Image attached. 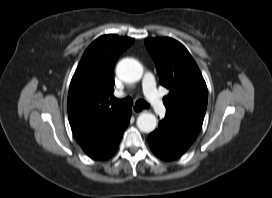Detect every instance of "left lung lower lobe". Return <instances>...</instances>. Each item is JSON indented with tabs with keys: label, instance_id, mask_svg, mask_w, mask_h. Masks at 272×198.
Returning <instances> with one entry per match:
<instances>
[{
	"label": "left lung lower lobe",
	"instance_id": "left-lung-lower-lobe-1",
	"mask_svg": "<svg viewBox=\"0 0 272 198\" xmlns=\"http://www.w3.org/2000/svg\"><path fill=\"white\" fill-rule=\"evenodd\" d=\"M201 127V124L166 113L158 129L148 136V143L159 158L174 160L192 145Z\"/></svg>",
	"mask_w": 272,
	"mask_h": 198
}]
</instances>
